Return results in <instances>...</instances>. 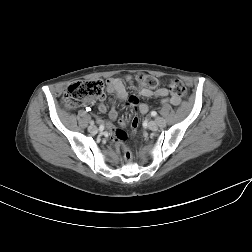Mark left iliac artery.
Masks as SVG:
<instances>
[{"instance_id": "1", "label": "left iliac artery", "mask_w": 252, "mask_h": 252, "mask_svg": "<svg viewBox=\"0 0 252 252\" xmlns=\"http://www.w3.org/2000/svg\"><path fill=\"white\" fill-rule=\"evenodd\" d=\"M151 115H152V116H156L157 113H156L155 111H152V112H151Z\"/></svg>"}]
</instances>
